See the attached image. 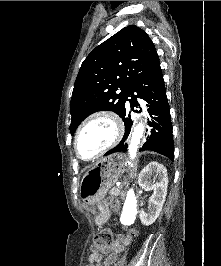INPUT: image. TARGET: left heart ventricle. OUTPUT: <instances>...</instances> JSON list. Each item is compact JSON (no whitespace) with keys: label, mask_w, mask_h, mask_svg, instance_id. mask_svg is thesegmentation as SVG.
<instances>
[{"label":"left heart ventricle","mask_w":221,"mask_h":266,"mask_svg":"<svg viewBox=\"0 0 221 266\" xmlns=\"http://www.w3.org/2000/svg\"><path fill=\"white\" fill-rule=\"evenodd\" d=\"M114 135L115 127L110 119L96 118L83 129L78 140L79 151L86 158L92 157L108 145Z\"/></svg>","instance_id":"1"}]
</instances>
